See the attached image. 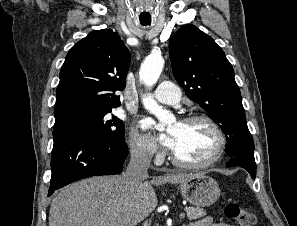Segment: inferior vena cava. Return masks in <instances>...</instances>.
I'll list each match as a JSON object with an SVG mask.
<instances>
[{
  "label": "inferior vena cava",
  "instance_id": "inferior-vena-cava-1",
  "mask_svg": "<svg viewBox=\"0 0 297 226\" xmlns=\"http://www.w3.org/2000/svg\"><path fill=\"white\" fill-rule=\"evenodd\" d=\"M152 156L153 151L149 147L140 145L132 149L130 162L125 173H123L128 186H138L148 177L147 170L150 166Z\"/></svg>",
  "mask_w": 297,
  "mask_h": 226
}]
</instances>
